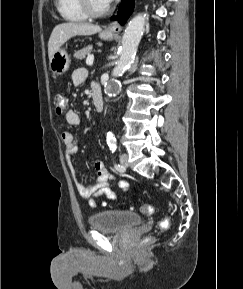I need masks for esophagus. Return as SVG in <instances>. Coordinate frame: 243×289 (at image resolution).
<instances>
[{
	"mask_svg": "<svg viewBox=\"0 0 243 289\" xmlns=\"http://www.w3.org/2000/svg\"><path fill=\"white\" fill-rule=\"evenodd\" d=\"M105 31L112 34H118L121 31V25L118 23V21H113L108 24Z\"/></svg>",
	"mask_w": 243,
	"mask_h": 289,
	"instance_id": "esophagus-1",
	"label": "esophagus"
}]
</instances>
